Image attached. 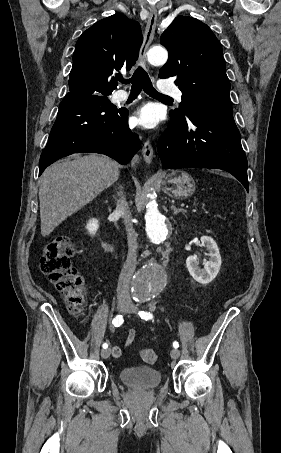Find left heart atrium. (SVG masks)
Listing matches in <instances>:
<instances>
[{"label": "left heart atrium", "mask_w": 281, "mask_h": 453, "mask_svg": "<svg viewBox=\"0 0 281 453\" xmlns=\"http://www.w3.org/2000/svg\"><path fill=\"white\" fill-rule=\"evenodd\" d=\"M131 122L145 129L155 128L161 122V114L155 105L146 104L132 114Z\"/></svg>", "instance_id": "obj_1"}]
</instances>
